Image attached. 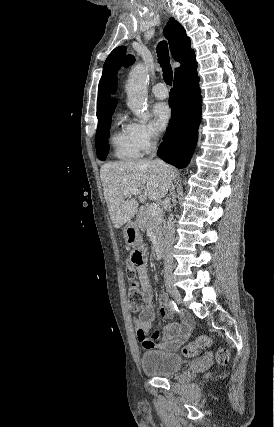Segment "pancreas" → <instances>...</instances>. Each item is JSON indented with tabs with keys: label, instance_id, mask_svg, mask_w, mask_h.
<instances>
[{
	"label": "pancreas",
	"instance_id": "obj_1",
	"mask_svg": "<svg viewBox=\"0 0 274 427\" xmlns=\"http://www.w3.org/2000/svg\"><path fill=\"white\" fill-rule=\"evenodd\" d=\"M147 210L148 206H145V208H140V212L137 215L136 219L138 227H141V231H145V229L151 227L157 237H162L163 229L161 223L163 221L164 212H162V210H159V214L157 215H148Z\"/></svg>",
	"mask_w": 274,
	"mask_h": 427
}]
</instances>
